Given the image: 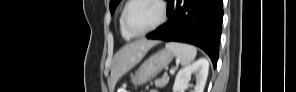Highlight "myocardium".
<instances>
[{"instance_id": "f54148a6", "label": "myocardium", "mask_w": 296, "mask_h": 92, "mask_svg": "<svg viewBox=\"0 0 296 92\" xmlns=\"http://www.w3.org/2000/svg\"><path fill=\"white\" fill-rule=\"evenodd\" d=\"M136 1H141V0H130L126 3V5L123 9V12H122V24L128 34H130L133 37H141V36H144L152 31H154L155 29H157L158 27H160L164 23V21L166 19V6H165L164 2L161 0H149V1L155 2L158 5L159 10H160L159 19L150 28H148L144 31L137 32V31H133L132 29H130V27L127 23L128 9Z\"/></svg>"}]
</instances>
